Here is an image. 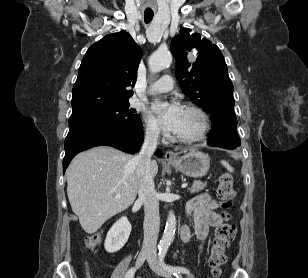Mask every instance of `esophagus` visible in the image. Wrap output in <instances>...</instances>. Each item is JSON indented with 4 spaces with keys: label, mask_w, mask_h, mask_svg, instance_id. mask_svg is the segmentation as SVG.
Here are the masks:
<instances>
[{
    "label": "esophagus",
    "mask_w": 308,
    "mask_h": 278,
    "mask_svg": "<svg viewBox=\"0 0 308 278\" xmlns=\"http://www.w3.org/2000/svg\"><path fill=\"white\" fill-rule=\"evenodd\" d=\"M175 154L172 151H167L165 154V160L166 161H172L175 159Z\"/></svg>",
    "instance_id": "obj_1"
}]
</instances>
